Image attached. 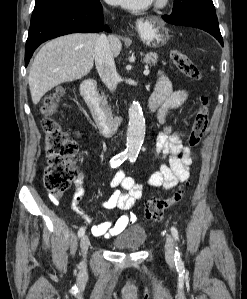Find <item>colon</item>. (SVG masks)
Wrapping results in <instances>:
<instances>
[{
  "label": "colon",
  "instance_id": "1",
  "mask_svg": "<svg viewBox=\"0 0 247 299\" xmlns=\"http://www.w3.org/2000/svg\"><path fill=\"white\" fill-rule=\"evenodd\" d=\"M171 60L176 68L187 78L199 79V70L193 61L182 51L173 50ZM61 95L55 94L46 99L43 106L44 118L41 126L45 135L46 165L44 170V185L55 197L61 196L71 185L77 175L74 167L78 146L74 140L63 131L60 123L54 118ZM209 123L208 98L203 96L195 115L188 144L196 147L203 138ZM184 189L180 187L171 197L151 198L145 206V217L149 221L161 219L164 211L180 202Z\"/></svg>",
  "mask_w": 247,
  "mask_h": 299
}]
</instances>
